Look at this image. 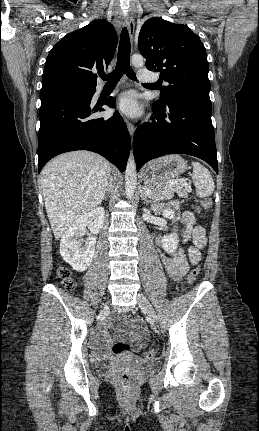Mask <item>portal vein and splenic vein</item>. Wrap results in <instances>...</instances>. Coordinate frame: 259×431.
Here are the masks:
<instances>
[{
  "mask_svg": "<svg viewBox=\"0 0 259 431\" xmlns=\"http://www.w3.org/2000/svg\"><path fill=\"white\" fill-rule=\"evenodd\" d=\"M176 183H181V184H183L186 188H188V190H189V191L191 190V189H190V186L185 182V180H173V181H170V184H176ZM145 194H146V195H150V194H151V190H149V189L145 188Z\"/></svg>",
  "mask_w": 259,
  "mask_h": 431,
  "instance_id": "portal-vein-and-splenic-vein-1",
  "label": "portal vein and splenic vein"
}]
</instances>
